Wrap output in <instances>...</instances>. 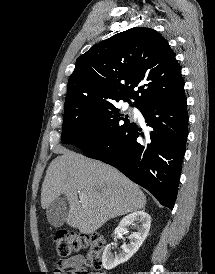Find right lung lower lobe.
Wrapping results in <instances>:
<instances>
[{
    "mask_svg": "<svg viewBox=\"0 0 215 274\" xmlns=\"http://www.w3.org/2000/svg\"><path fill=\"white\" fill-rule=\"evenodd\" d=\"M138 109L150 127L146 135L132 123L83 153L114 166L172 209L188 135L185 93L176 98L152 100Z\"/></svg>",
    "mask_w": 215,
    "mask_h": 274,
    "instance_id": "obj_1",
    "label": "right lung lower lobe"
}]
</instances>
